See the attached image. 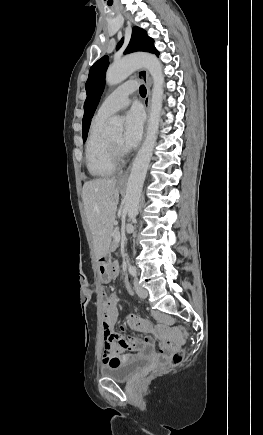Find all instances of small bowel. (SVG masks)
<instances>
[{
  "mask_svg": "<svg viewBox=\"0 0 263 435\" xmlns=\"http://www.w3.org/2000/svg\"><path fill=\"white\" fill-rule=\"evenodd\" d=\"M109 270H111L116 277L119 273L118 264L113 263ZM118 316L117 297L115 294H111L106 299L103 306V328L115 329L118 323ZM153 316L161 324H174L173 319L168 315L154 312ZM125 325H130L134 329L145 332L151 330V326L147 321L132 314L125 317L122 329H124ZM157 338L160 341H163L165 338L170 340L164 341L163 347H158L156 349V354L158 356H167L169 354V350H173L174 348L173 340L176 338V335L173 332H170L166 335L163 332H160L157 335ZM176 348H181V343H176ZM151 349L152 341L148 336L139 338L115 333L113 348L111 350H103V363L106 365H116L131 358L149 354L152 352Z\"/></svg>",
  "mask_w": 263,
  "mask_h": 435,
  "instance_id": "c3829d8e",
  "label": "small bowel"
}]
</instances>
